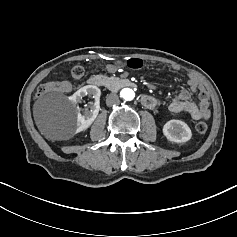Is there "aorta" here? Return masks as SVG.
I'll return each instance as SVG.
<instances>
[{
	"mask_svg": "<svg viewBox=\"0 0 237 237\" xmlns=\"http://www.w3.org/2000/svg\"><path fill=\"white\" fill-rule=\"evenodd\" d=\"M121 96L126 100V101H131L135 98V92L131 88H124L121 91Z\"/></svg>",
	"mask_w": 237,
	"mask_h": 237,
	"instance_id": "obj_1",
	"label": "aorta"
}]
</instances>
